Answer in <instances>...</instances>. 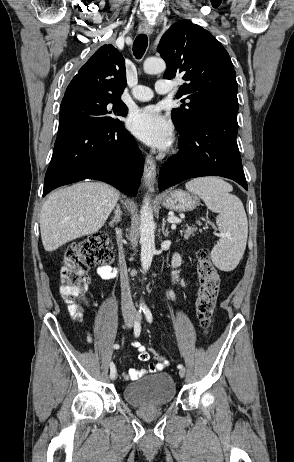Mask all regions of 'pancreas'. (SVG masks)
<instances>
[{
	"instance_id": "1",
	"label": "pancreas",
	"mask_w": 294,
	"mask_h": 462,
	"mask_svg": "<svg viewBox=\"0 0 294 462\" xmlns=\"http://www.w3.org/2000/svg\"><path fill=\"white\" fill-rule=\"evenodd\" d=\"M195 232H196V228L192 226H188V225H186V229L180 231L181 235L183 234L185 238L193 236Z\"/></svg>"
}]
</instances>
